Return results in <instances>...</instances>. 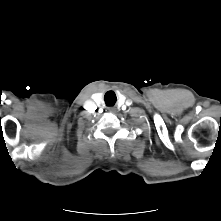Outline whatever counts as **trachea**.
<instances>
[{
  "label": "trachea",
  "mask_w": 221,
  "mask_h": 221,
  "mask_svg": "<svg viewBox=\"0 0 221 221\" xmlns=\"http://www.w3.org/2000/svg\"><path fill=\"white\" fill-rule=\"evenodd\" d=\"M111 92H108L106 95H105V101L108 105H113L114 102H111V97L109 96Z\"/></svg>",
  "instance_id": "1"
}]
</instances>
